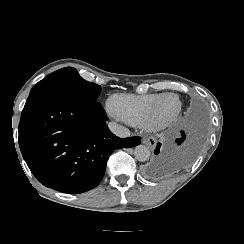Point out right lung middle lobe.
<instances>
[{
	"mask_svg": "<svg viewBox=\"0 0 244 244\" xmlns=\"http://www.w3.org/2000/svg\"><path fill=\"white\" fill-rule=\"evenodd\" d=\"M101 86L84 80L75 68L57 70L41 81L30 91V95L52 93L68 95L83 101H97Z\"/></svg>",
	"mask_w": 244,
	"mask_h": 244,
	"instance_id": "dd1d6c3e",
	"label": "right lung middle lobe"
}]
</instances>
